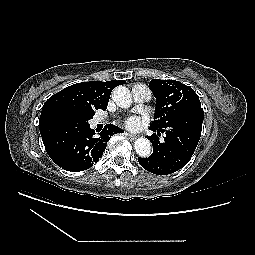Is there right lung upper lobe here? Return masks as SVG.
Segmentation results:
<instances>
[{"mask_svg":"<svg viewBox=\"0 0 255 255\" xmlns=\"http://www.w3.org/2000/svg\"><path fill=\"white\" fill-rule=\"evenodd\" d=\"M124 83L123 80L89 81L64 88L45 102L40 116V127L56 115L83 116L95 114V110L98 109L106 110L111 91Z\"/></svg>","mask_w":255,"mask_h":255,"instance_id":"cb5924a9","label":"right lung upper lobe"}]
</instances>
